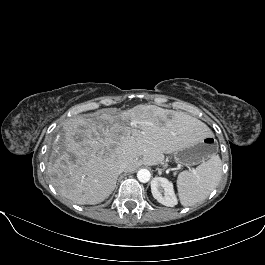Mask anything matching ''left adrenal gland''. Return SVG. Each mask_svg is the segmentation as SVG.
Segmentation results:
<instances>
[{"label": "left adrenal gland", "instance_id": "left-adrenal-gland-1", "mask_svg": "<svg viewBox=\"0 0 265 265\" xmlns=\"http://www.w3.org/2000/svg\"><path fill=\"white\" fill-rule=\"evenodd\" d=\"M161 171H162L161 169H158L159 175H161Z\"/></svg>", "mask_w": 265, "mask_h": 265}]
</instances>
